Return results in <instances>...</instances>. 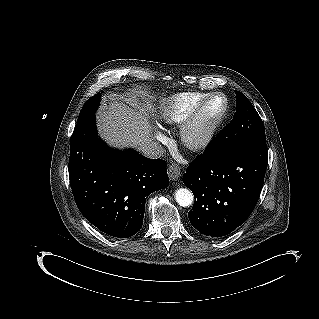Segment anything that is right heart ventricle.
Returning <instances> with one entry per match:
<instances>
[{
  "label": "right heart ventricle",
  "instance_id": "e07e8e85",
  "mask_svg": "<svg viewBox=\"0 0 319 319\" xmlns=\"http://www.w3.org/2000/svg\"><path fill=\"white\" fill-rule=\"evenodd\" d=\"M206 95L202 92H181L166 98L160 107L162 120L169 125H180Z\"/></svg>",
  "mask_w": 319,
  "mask_h": 319
}]
</instances>
